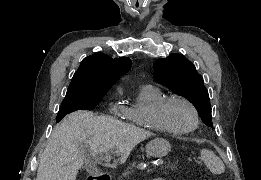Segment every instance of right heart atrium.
Here are the masks:
<instances>
[{
  "label": "right heart atrium",
  "mask_w": 261,
  "mask_h": 180,
  "mask_svg": "<svg viewBox=\"0 0 261 180\" xmlns=\"http://www.w3.org/2000/svg\"><path fill=\"white\" fill-rule=\"evenodd\" d=\"M115 114H119V117H120V120H121V113H120V111L119 112H115ZM122 127H123V125H122Z\"/></svg>",
  "instance_id": "1"
}]
</instances>
